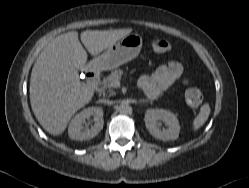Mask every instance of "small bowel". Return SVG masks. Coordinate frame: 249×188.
<instances>
[{
  "instance_id": "c3829d8e",
  "label": "small bowel",
  "mask_w": 249,
  "mask_h": 188,
  "mask_svg": "<svg viewBox=\"0 0 249 188\" xmlns=\"http://www.w3.org/2000/svg\"><path fill=\"white\" fill-rule=\"evenodd\" d=\"M182 73L181 63L169 61L160 65L154 73L141 76L138 85L149 98L154 99L177 82ZM183 83L186 84L187 80H183Z\"/></svg>"
}]
</instances>
